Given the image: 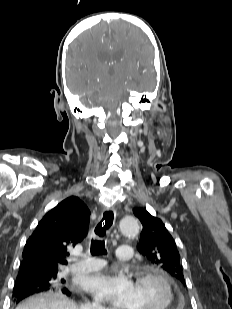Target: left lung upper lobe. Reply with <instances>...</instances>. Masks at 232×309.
Here are the masks:
<instances>
[{"mask_svg": "<svg viewBox=\"0 0 232 309\" xmlns=\"http://www.w3.org/2000/svg\"><path fill=\"white\" fill-rule=\"evenodd\" d=\"M133 213L143 225L138 251L152 264L159 266L184 284L179 251L163 222L143 208H134Z\"/></svg>", "mask_w": 232, "mask_h": 309, "instance_id": "5c2ea615", "label": "left lung upper lobe"}]
</instances>
